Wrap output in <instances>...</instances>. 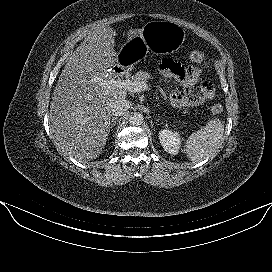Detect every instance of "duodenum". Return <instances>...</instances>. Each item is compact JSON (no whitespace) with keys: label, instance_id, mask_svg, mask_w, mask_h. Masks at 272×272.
<instances>
[{"label":"duodenum","instance_id":"410a0bca","mask_svg":"<svg viewBox=\"0 0 272 272\" xmlns=\"http://www.w3.org/2000/svg\"><path fill=\"white\" fill-rule=\"evenodd\" d=\"M129 73V68L124 65H119L114 69V75L116 78H123Z\"/></svg>","mask_w":272,"mask_h":272}]
</instances>
